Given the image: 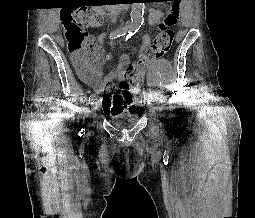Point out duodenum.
Returning a JSON list of instances; mask_svg holds the SVG:
<instances>
[{
  "instance_id": "410a0bca",
  "label": "duodenum",
  "mask_w": 255,
  "mask_h": 218,
  "mask_svg": "<svg viewBox=\"0 0 255 218\" xmlns=\"http://www.w3.org/2000/svg\"><path fill=\"white\" fill-rule=\"evenodd\" d=\"M98 10H99L100 12H103V8H98Z\"/></svg>"
}]
</instances>
